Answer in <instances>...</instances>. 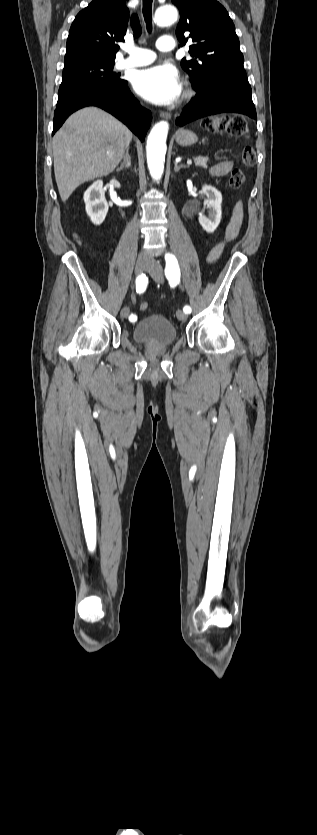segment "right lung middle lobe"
I'll return each instance as SVG.
<instances>
[{
    "mask_svg": "<svg viewBox=\"0 0 317 835\" xmlns=\"http://www.w3.org/2000/svg\"><path fill=\"white\" fill-rule=\"evenodd\" d=\"M114 62L95 58L65 61L59 94L95 84L122 85L126 81L113 73Z\"/></svg>",
    "mask_w": 317,
    "mask_h": 835,
    "instance_id": "dd1d6c3e",
    "label": "right lung middle lobe"
}]
</instances>
